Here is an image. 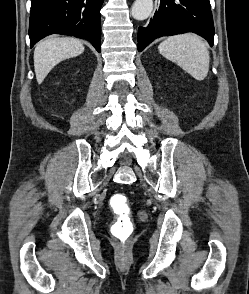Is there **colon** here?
<instances>
[{"label": "colon", "instance_id": "1", "mask_svg": "<svg viewBox=\"0 0 249 294\" xmlns=\"http://www.w3.org/2000/svg\"><path fill=\"white\" fill-rule=\"evenodd\" d=\"M127 202L128 199L123 194L115 195L112 199V205L118 212V218L112 226V231L121 243H127L134 230L132 221L126 215Z\"/></svg>", "mask_w": 249, "mask_h": 294}]
</instances>
